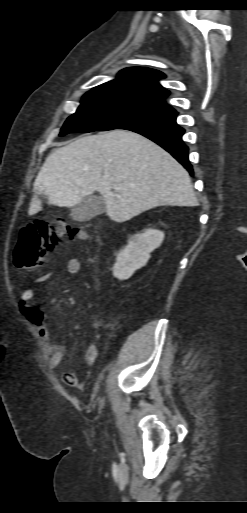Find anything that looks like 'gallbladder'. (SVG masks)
Returning a JSON list of instances; mask_svg holds the SVG:
<instances>
[{
	"label": "gallbladder",
	"mask_w": 247,
	"mask_h": 513,
	"mask_svg": "<svg viewBox=\"0 0 247 513\" xmlns=\"http://www.w3.org/2000/svg\"><path fill=\"white\" fill-rule=\"evenodd\" d=\"M105 204L99 196H87L71 208L70 216L77 222H86L103 214Z\"/></svg>",
	"instance_id": "bac80fb5"
}]
</instances>
